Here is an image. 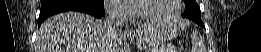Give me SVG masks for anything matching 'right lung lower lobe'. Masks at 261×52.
I'll return each mask as SVG.
<instances>
[{"label":"right lung lower lobe","instance_id":"obj_1","mask_svg":"<svg viewBox=\"0 0 261 52\" xmlns=\"http://www.w3.org/2000/svg\"><path fill=\"white\" fill-rule=\"evenodd\" d=\"M85 12L96 18L104 15V1L94 0H41L39 25L49 16L66 11Z\"/></svg>","mask_w":261,"mask_h":52}]
</instances>
